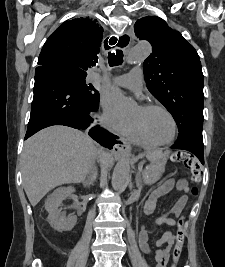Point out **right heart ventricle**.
I'll list each match as a JSON object with an SVG mask.
<instances>
[{
    "instance_id": "e07e8e85",
    "label": "right heart ventricle",
    "mask_w": 225,
    "mask_h": 267,
    "mask_svg": "<svg viewBox=\"0 0 225 267\" xmlns=\"http://www.w3.org/2000/svg\"><path fill=\"white\" fill-rule=\"evenodd\" d=\"M124 136L132 143L142 145L145 147H153L137 132L133 124H131V127L124 134Z\"/></svg>"
}]
</instances>
